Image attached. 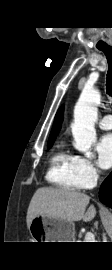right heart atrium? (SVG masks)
Masks as SVG:
<instances>
[{"instance_id":"right-heart-atrium-1","label":"right heart atrium","mask_w":112,"mask_h":270,"mask_svg":"<svg viewBox=\"0 0 112 270\" xmlns=\"http://www.w3.org/2000/svg\"><path fill=\"white\" fill-rule=\"evenodd\" d=\"M75 157V171L80 184L83 189L91 188L99 178V170L95 163L84 156Z\"/></svg>"}]
</instances>
